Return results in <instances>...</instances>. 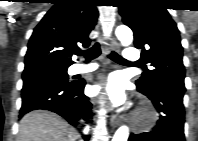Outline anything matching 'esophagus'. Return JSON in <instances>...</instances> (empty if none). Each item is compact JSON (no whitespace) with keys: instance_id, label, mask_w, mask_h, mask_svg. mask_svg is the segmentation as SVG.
<instances>
[{"instance_id":"1","label":"esophagus","mask_w":198,"mask_h":141,"mask_svg":"<svg viewBox=\"0 0 198 141\" xmlns=\"http://www.w3.org/2000/svg\"><path fill=\"white\" fill-rule=\"evenodd\" d=\"M111 49L115 52H119L120 51V46L119 44L115 41L112 40L111 42ZM110 124L113 128L117 127L120 124V118L117 115H112L110 118Z\"/></svg>"}]
</instances>
